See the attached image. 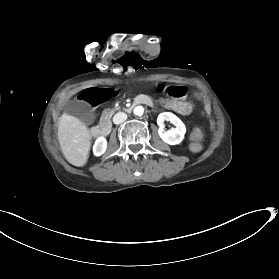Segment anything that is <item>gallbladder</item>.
Wrapping results in <instances>:
<instances>
[{"label": "gallbladder", "mask_w": 279, "mask_h": 279, "mask_svg": "<svg viewBox=\"0 0 279 279\" xmlns=\"http://www.w3.org/2000/svg\"><path fill=\"white\" fill-rule=\"evenodd\" d=\"M63 111L65 114L78 115L86 125H93L96 122V115L86 102L72 101L70 104L64 106Z\"/></svg>", "instance_id": "obj_1"}]
</instances>
